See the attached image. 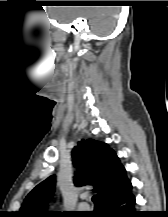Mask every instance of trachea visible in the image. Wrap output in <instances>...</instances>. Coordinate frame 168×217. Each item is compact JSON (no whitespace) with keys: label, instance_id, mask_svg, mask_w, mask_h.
I'll return each mask as SVG.
<instances>
[{"label":"trachea","instance_id":"obj_1","mask_svg":"<svg viewBox=\"0 0 168 217\" xmlns=\"http://www.w3.org/2000/svg\"><path fill=\"white\" fill-rule=\"evenodd\" d=\"M92 201H93L94 203H96V195H94V196L92 197Z\"/></svg>","mask_w":168,"mask_h":217}]
</instances>
